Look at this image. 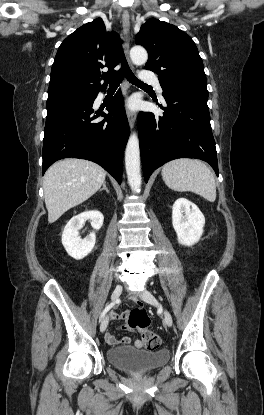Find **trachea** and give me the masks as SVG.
I'll list each match as a JSON object with an SVG mask.
<instances>
[{
  "label": "trachea",
  "mask_w": 264,
  "mask_h": 415,
  "mask_svg": "<svg viewBox=\"0 0 264 415\" xmlns=\"http://www.w3.org/2000/svg\"><path fill=\"white\" fill-rule=\"evenodd\" d=\"M124 77L132 84L134 85H138V86H143V87H150L149 85L141 82L131 71L126 58L124 56V53L121 54V68L118 71V73L116 75H114L110 80H109V87H115V86H119L120 83L122 82V80L124 79Z\"/></svg>",
  "instance_id": "trachea-1"
}]
</instances>
